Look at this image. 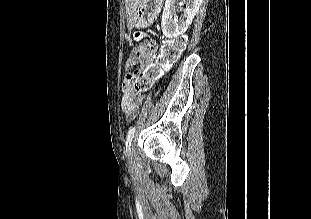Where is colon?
Segmentation results:
<instances>
[{
	"label": "colon",
	"instance_id": "1",
	"mask_svg": "<svg viewBox=\"0 0 311 219\" xmlns=\"http://www.w3.org/2000/svg\"><path fill=\"white\" fill-rule=\"evenodd\" d=\"M186 39L183 36L166 41L161 52L146 73H142L144 59L152 51V42H145L132 51L126 62V70L131 75H138L136 89L145 90L156 80L162 69L175 62L185 49Z\"/></svg>",
	"mask_w": 311,
	"mask_h": 219
}]
</instances>
